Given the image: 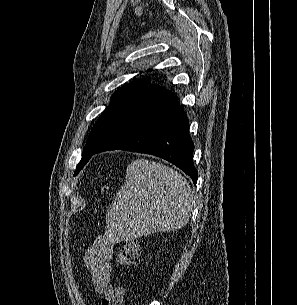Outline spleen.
<instances>
[{
    "mask_svg": "<svg viewBox=\"0 0 297 305\" xmlns=\"http://www.w3.org/2000/svg\"><path fill=\"white\" fill-rule=\"evenodd\" d=\"M194 194L172 168L146 159L127 166L126 179L106 213L107 231L117 241L176 231L191 216Z\"/></svg>",
    "mask_w": 297,
    "mask_h": 305,
    "instance_id": "1",
    "label": "spleen"
}]
</instances>
